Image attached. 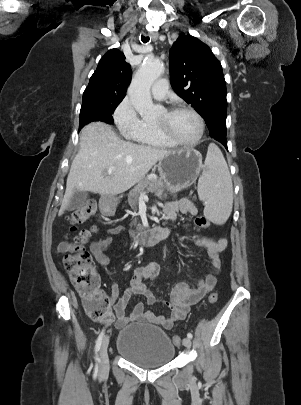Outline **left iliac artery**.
I'll return each instance as SVG.
<instances>
[{
    "mask_svg": "<svg viewBox=\"0 0 301 405\" xmlns=\"http://www.w3.org/2000/svg\"><path fill=\"white\" fill-rule=\"evenodd\" d=\"M187 337L190 338V339H192V337H193L192 333H188V334H187Z\"/></svg>",
    "mask_w": 301,
    "mask_h": 405,
    "instance_id": "obj_1",
    "label": "left iliac artery"
}]
</instances>
